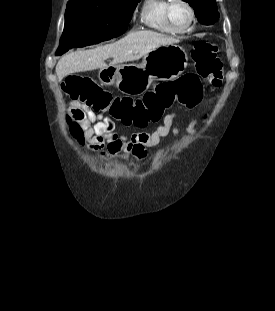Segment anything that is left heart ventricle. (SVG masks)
<instances>
[{
  "mask_svg": "<svg viewBox=\"0 0 275 311\" xmlns=\"http://www.w3.org/2000/svg\"><path fill=\"white\" fill-rule=\"evenodd\" d=\"M170 17L176 27L182 28L188 24L190 13L184 4L178 2L172 6Z\"/></svg>",
  "mask_w": 275,
  "mask_h": 311,
  "instance_id": "obj_1",
  "label": "left heart ventricle"
}]
</instances>
